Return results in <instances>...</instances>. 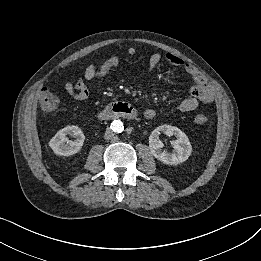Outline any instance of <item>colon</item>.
<instances>
[{"label":"colon","mask_w":261,"mask_h":261,"mask_svg":"<svg viewBox=\"0 0 261 261\" xmlns=\"http://www.w3.org/2000/svg\"><path fill=\"white\" fill-rule=\"evenodd\" d=\"M208 82V79L205 78L204 80L195 83L190 89V94L197 95L200 90L208 84ZM39 103L40 108L43 112L52 113L55 112L58 108L59 98L57 95L47 89L45 91H42V93L40 94ZM195 122L197 124H204L206 122V116L203 114H197L195 116Z\"/></svg>","instance_id":"colon-1"}]
</instances>
